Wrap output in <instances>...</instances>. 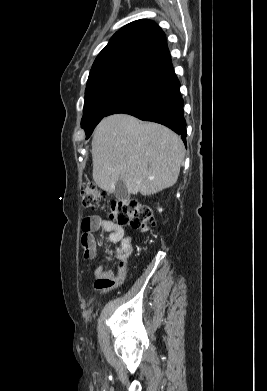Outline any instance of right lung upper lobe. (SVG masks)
Here are the masks:
<instances>
[{
	"instance_id": "1",
	"label": "right lung upper lobe",
	"mask_w": 267,
	"mask_h": 391,
	"mask_svg": "<svg viewBox=\"0 0 267 391\" xmlns=\"http://www.w3.org/2000/svg\"><path fill=\"white\" fill-rule=\"evenodd\" d=\"M171 64L165 34L161 28L151 20H137L112 36L95 59L88 81L117 72L152 76Z\"/></svg>"
}]
</instances>
